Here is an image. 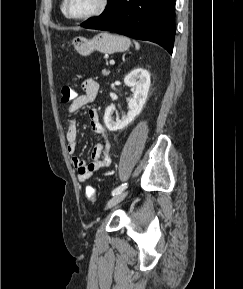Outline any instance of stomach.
<instances>
[{
    "instance_id": "0dacf381",
    "label": "stomach",
    "mask_w": 243,
    "mask_h": 289,
    "mask_svg": "<svg viewBox=\"0 0 243 289\" xmlns=\"http://www.w3.org/2000/svg\"><path fill=\"white\" fill-rule=\"evenodd\" d=\"M72 44L79 54L87 56L95 50L108 54L126 51L130 46V40L120 35L102 32L92 39L82 36L76 37Z\"/></svg>"
}]
</instances>
